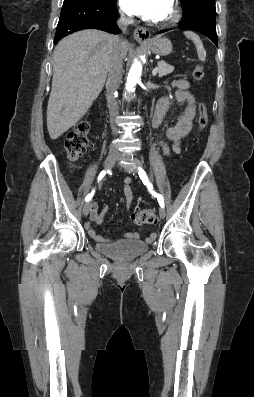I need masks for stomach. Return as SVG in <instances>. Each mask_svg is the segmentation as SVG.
Returning <instances> with one entry per match:
<instances>
[{
    "instance_id": "stomach-1",
    "label": "stomach",
    "mask_w": 254,
    "mask_h": 397,
    "mask_svg": "<svg viewBox=\"0 0 254 397\" xmlns=\"http://www.w3.org/2000/svg\"><path fill=\"white\" fill-rule=\"evenodd\" d=\"M145 45L148 46L153 53L161 56H166L172 51L171 41L164 37H155Z\"/></svg>"
}]
</instances>
